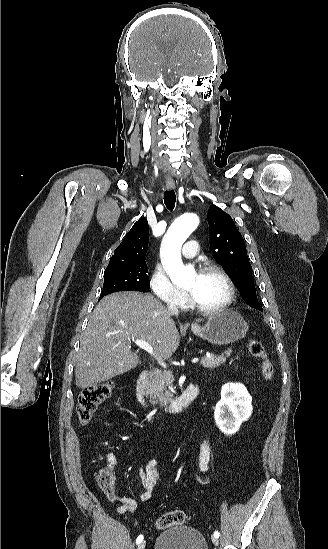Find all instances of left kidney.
<instances>
[{"instance_id":"obj_1","label":"left kidney","mask_w":328,"mask_h":549,"mask_svg":"<svg viewBox=\"0 0 328 549\" xmlns=\"http://www.w3.org/2000/svg\"><path fill=\"white\" fill-rule=\"evenodd\" d=\"M252 397L242 383H226L221 389V401H218L214 419L224 435H234L241 423L249 419L253 407Z\"/></svg>"}]
</instances>
